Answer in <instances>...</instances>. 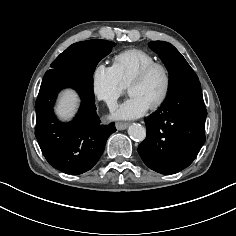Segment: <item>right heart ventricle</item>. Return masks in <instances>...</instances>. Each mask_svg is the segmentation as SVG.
Here are the masks:
<instances>
[{"mask_svg": "<svg viewBox=\"0 0 236 236\" xmlns=\"http://www.w3.org/2000/svg\"><path fill=\"white\" fill-rule=\"evenodd\" d=\"M154 61V56L149 52L132 48L117 53L113 57V67L121 82L128 86L144 66Z\"/></svg>", "mask_w": 236, "mask_h": 236, "instance_id": "obj_1", "label": "right heart ventricle"}]
</instances>
